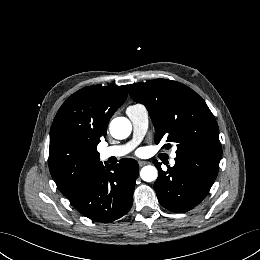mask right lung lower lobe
Masks as SVG:
<instances>
[{
  "label": "right lung lower lobe",
  "mask_w": 260,
  "mask_h": 260,
  "mask_svg": "<svg viewBox=\"0 0 260 260\" xmlns=\"http://www.w3.org/2000/svg\"><path fill=\"white\" fill-rule=\"evenodd\" d=\"M138 171L134 159H121L117 165L105 163L70 202L91 220L108 223L119 219L133 204Z\"/></svg>",
  "instance_id": "98d812e1"
}]
</instances>
